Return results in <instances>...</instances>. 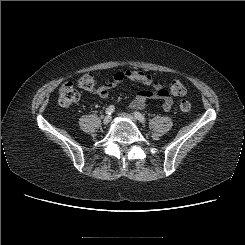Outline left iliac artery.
Returning a JSON list of instances; mask_svg holds the SVG:
<instances>
[{
	"label": "left iliac artery",
	"instance_id": "left-iliac-artery-1",
	"mask_svg": "<svg viewBox=\"0 0 245 245\" xmlns=\"http://www.w3.org/2000/svg\"><path fill=\"white\" fill-rule=\"evenodd\" d=\"M135 117L141 122V123H145L146 119L144 117V115H142L140 112H134Z\"/></svg>",
	"mask_w": 245,
	"mask_h": 245
}]
</instances>
